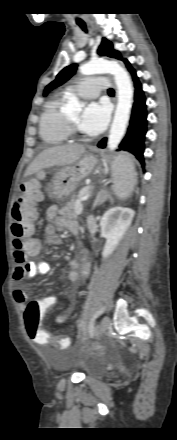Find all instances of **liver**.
<instances>
[{"label":"liver","mask_w":177,"mask_h":440,"mask_svg":"<svg viewBox=\"0 0 177 440\" xmlns=\"http://www.w3.org/2000/svg\"><path fill=\"white\" fill-rule=\"evenodd\" d=\"M85 151V146L80 144L62 145L48 148L42 151L28 166L24 176L27 177L44 168L71 165L78 161ZM119 167L118 162L113 164V174L118 171Z\"/></svg>","instance_id":"obj_1"}]
</instances>
